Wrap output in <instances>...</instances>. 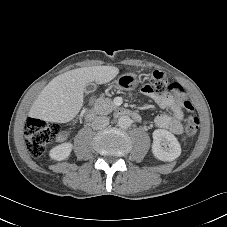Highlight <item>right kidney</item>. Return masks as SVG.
Listing matches in <instances>:
<instances>
[{
  "label": "right kidney",
  "instance_id": "ca27d5eb",
  "mask_svg": "<svg viewBox=\"0 0 227 227\" xmlns=\"http://www.w3.org/2000/svg\"><path fill=\"white\" fill-rule=\"evenodd\" d=\"M72 147L73 145L71 143H62L55 146L50 150V157L58 161L64 160L70 155Z\"/></svg>",
  "mask_w": 227,
  "mask_h": 227
}]
</instances>
